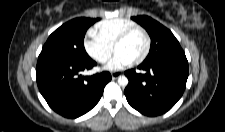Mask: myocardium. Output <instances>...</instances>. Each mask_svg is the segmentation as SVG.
<instances>
[{"label":"myocardium","instance_id":"f54148a6","mask_svg":"<svg viewBox=\"0 0 225 132\" xmlns=\"http://www.w3.org/2000/svg\"><path fill=\"white\" fill-rule=\"evenodd\" d=\"M135 32L142 33L146 39V47H145L144 52L142 53V55L140 57H138L137 59L132 61L133 64H140L148 57L150 50H151V37L144 28H142L140 26H134V27H131V28L125 30L116 39L113 47H114V50L116 51L117 47L119 45H121L123 42H125Z\"/></svg>","mask_w":225,"mask_h":132}]
</instances>
